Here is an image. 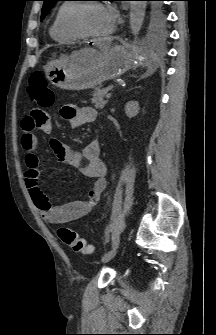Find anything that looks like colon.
Here are the masks:
<instances>
[{
    "label": "colon",
    "mask_w": 216,
    "mask_h": 335,
    "mask_svg": "<svg viewBox=\"0 0 216 335\" xmlns=\"http://www.w3.org/2000/svg\"><path fill=\"white\" fill-rule=\"evenodd\" d=\"M27 93L30 99L36 104V108H50L54 104V92L48 86L43 73L40 71H35L30 75L27 85ZM57 235L61 241L73 251L85 255L93 253V246L87 243L85 239L81 238L76 231L67 226H58Z\"/></svg>",
    "instance_id": "obj_1"
}]
</instances>
